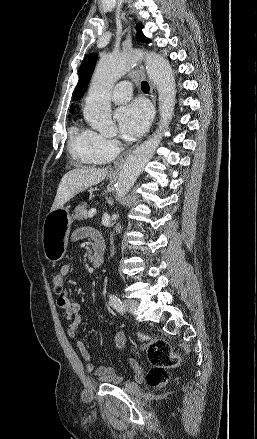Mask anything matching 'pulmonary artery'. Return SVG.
Listing matches in <instances>:
<instances>
[{
    "instance_id": "obj_1",
    "label": "pulmonary artery",
    "mask_w": 257,
    "mask_h": 439,
    "mask_svg": "<svg viewBox=\"0 0 257 439\" xmlns=\"http://www.w3.org/2000/svg\"><path fill=\"white\" fill-rule=\"evenodd\" d=\"M132 85L129 82L118 83L112 91V100L116 103H124L131 98Z\"/></svg>"
}]
</instances>
